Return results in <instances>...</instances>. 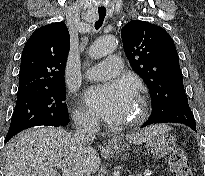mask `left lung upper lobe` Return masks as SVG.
<instances>
[{"label":"left lung upper lobe","instance_id":"5c2ea615","mask_svg":"<svg viewBox=\"0 0 205 176\" xmlns=\"http://www.w3.org/2000/svg\"><path fill=\"white\" fill-rule=\"evenodd\" d=\"M121 37L131 67L149 89L152 111L186 95L177 50L166 30L132 20L122 28Z\"/></svg>","mask_w":205,"mask_h":176}]
</instances>
